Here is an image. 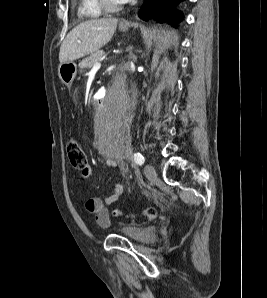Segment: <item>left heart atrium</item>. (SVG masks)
<instances>
[{
	"mask_svg": "<svg viewBox=\"0 0 267 298\" xmlns=\"http://www.w3.org/2000/svg\"><path fill=\"white\" fill-rule=\"evenodd\" d=\"M128 1H130V0H118L119 3H126Z\"/></svg>",
	"mask_w": 267,
	"mask_h": 298,
	"instance_id": "1",
	"label": "left heart atrium"
}]
</instances>
